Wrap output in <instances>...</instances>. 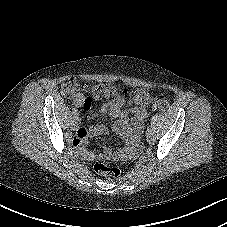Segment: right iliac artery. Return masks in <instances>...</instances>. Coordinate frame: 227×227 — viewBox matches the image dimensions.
<instances>
[{
  "mask_svg": "<svg viewBox=\"0 0 227 227\" xmlns=\"http://www.w3.org/2000/svg\"><path fill=\"white\" fill-rule=\"evenodd\" d=\"M74 118H75V120H77V121H78V120H80V118H81V117H80V115H78V114H77V115H75V117H74Z\"/></svg>",
  "mask_w": 227,
  "mask_h": 227,
  "instance_id": "1",
  "label": "right iliac artery"
}]
</instances>
